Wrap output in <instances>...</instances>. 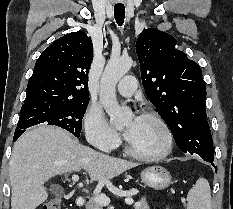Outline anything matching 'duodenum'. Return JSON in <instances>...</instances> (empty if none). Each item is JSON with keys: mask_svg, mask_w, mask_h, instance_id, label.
<instances>
[{"mask_svg": "<svg viewBox=\"0 0 233 209\" xmlns=\"http://www.w3.org/2000/svg\"><path fill=\"white\" fill-rule=\"evenodd\" d=\"M75 204L77 207L82 208L85 205V199L82 196H78L75 200Z\"/></svg>", "mask_w": 233, "mask_h": 209, "instance_id": "410a0bca", "label": "duodenum"}]
</instances>
